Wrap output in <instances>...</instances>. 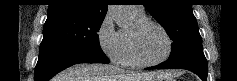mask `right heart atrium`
Returning <instances> with one entry per match:
<instances>
[{
  "instance_id": "1",
  "label": "right heart atrium",
  "mask_w": 237,
  "mask_h": 81,
  "mask_svg": "<svg viewBox=\"0 0 237 81\" xmlns=\"http://www.w3.org/2000/svg\"><path fill=\"white\" fill-rule=\"evenodd\" d=\"M97 39L100 49L112 62L120 61L122 54L121 37L109 15L102 19L97 30Z\"/></svg>"
}]
</instances>
